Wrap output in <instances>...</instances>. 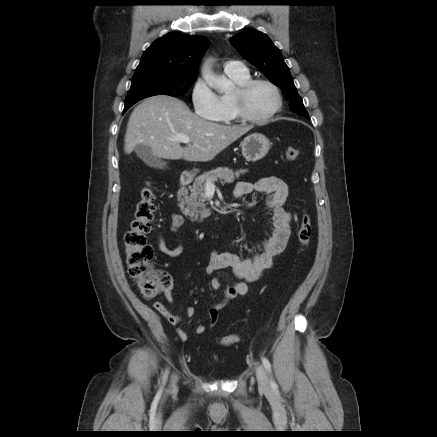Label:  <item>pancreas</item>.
<instances>
[{"label": "pancreas", "mask_w": 437, "mask_h": 437, "mask_svg": "<svg viewBox=\"0 0 437 437\" xmlns=\"http://www.w3.org/2000/svg\"><path fill=\"white\" fill-rule=\"evenodd\" d=\"M247 170H233L227 167H218L209 172L198 176L190 189V195L186 192L182 200V207L184 214L188 215L192 221L201 222L203 219L210 216L211 211L206 207L205 182L211 180L216 182L232 183L235 178H239L240 174L246 173Z\"/></svg>", "instance_id": "obj_1"}]
</instances>
